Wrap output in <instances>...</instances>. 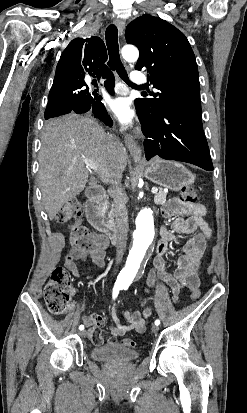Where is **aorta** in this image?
Instances as JSON below:
<instances>
[{"label":"aorta","mask_w":247,"mask_h":413,"mask_svg":"<svg viewBox=\"0 0 247 413\" xmlns=\"http://www.w3.org/2000/svg\"><path fill=\"white\" fill-rule=\"evenodd\" d=\"M122 56L128 62H135L139 57V51L135 46L125 45L122 48ZM136 226L135 243L124 270L126 278L137 273L145 252L153 240L154 219L151 208L145 207L139 212L136 218Z\"/></svg>","instance_id":"1"}]
</instances>
